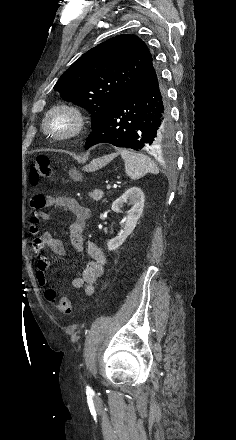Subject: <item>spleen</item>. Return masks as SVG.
<instances>
[{"instance_id":"3e777b00","label":"spleen","mask_w":236,"mask_h":440,"mask_svg":"<svg viewBox=\"0 0 236 440\" xmlns=\"http://www.w3.org/2000/svg\"><path fill=\"white\" fill-rule=\"evenodd\" d=\"M120 154L125 163V172L132 180H138L149 172H158L155 163L146 155L128 149H121Z\"/></svg>"}]
</instances>
